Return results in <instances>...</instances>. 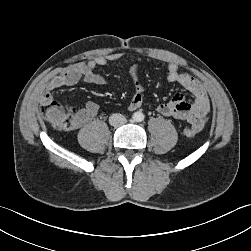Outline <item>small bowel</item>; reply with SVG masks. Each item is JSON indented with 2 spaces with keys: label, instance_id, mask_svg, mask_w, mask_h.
<instances>
[{
  "label": "small bowel",
  "instance_id": "1",
  "mask_svg": "<svg viewBox=\"0 0 251 251\" xmlns=\"http://www.w3.org/2000/svg\"><path fill=\"white\" fill-rule=\"evenodd\" d=\"M121 57L120 53H111L67 68L45 84V92L39 97L40 103H52L53 91L62 87L73 86L81 81L96 85L106 84L105 77L97 73L96 68L106 65L108 62L117 61ZM128 73L134 86V94L128 108L133 111L146 105V101L142 94L143 86L138 79V66H131ZM167 80L180 84L192 95V100L189 101L183 94L178 93L168 102L159 104L156 107V111L163 116L190 123L195 131L201 130L207 121L210 110L209 97L203 85L189 73L180 71L178 65L175 63L167 65ZM98 111L99 105L96 102H87L84 108L76 112V127L82 126L92 120Z\"/></svg>",
  "mask_w": 251,
  "mask_h": 251
}]
</instances>
